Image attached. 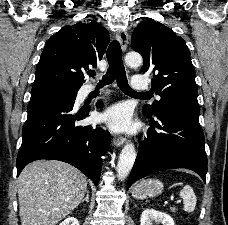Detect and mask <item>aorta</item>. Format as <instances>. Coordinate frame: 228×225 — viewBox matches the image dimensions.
<instances>
[{
  "label": "aorta",
  "mask_w": 228,
  "mask_h": 225,
  "mask_svg": "<svg viewBox=\"0 0 228 225\" xmlns=\"http://www.w3.org/2000/svg\"><path fill=\"white\" fill-rule=\"evenodd\" d=\"M125 62L128 66H140L143 58L139 52H127ZM136 159V151L132 143H127L121 151L117 165V177L119 181H124L128 177Z\"/></svg>",
  "instance_id": "1"
}]
</instances>
